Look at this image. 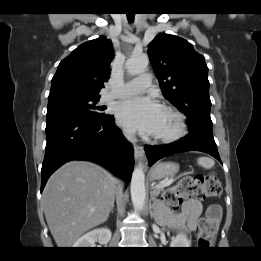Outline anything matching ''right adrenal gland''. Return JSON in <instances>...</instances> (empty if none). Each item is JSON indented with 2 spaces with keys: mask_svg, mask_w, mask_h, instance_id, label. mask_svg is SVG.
<instances>
[{
  "mask_svg": "<svg viewBox=\"0 0 261 261\" xmlns=\"http://www.w3.org/2000/svg\"><path fill=\"white\" fill-rule=\"evenodd\" d=\"M113 208H114V205H113L112 208H111V213H113Z\"/></svg>",
  "mask_w": 261,
  "mask_h": 261,
  "instance_id": "obj_1",
  "label": "right adrenal gland"
}]
</instances>
